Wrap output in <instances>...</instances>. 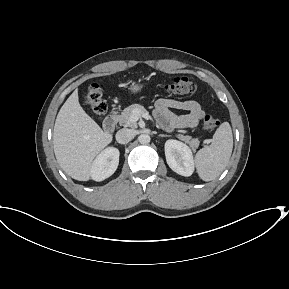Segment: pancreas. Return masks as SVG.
<instances>
[{
  "instance_id": "cf45deb5",
  "label": "pancreas",
  "mask_w": 289,
  "mask_h": 289,
  "mask_svg": "<svg viewBox=\"0 0 289 289\" xmlns=\"http://www.w3.org/2000/svg\"><path fill=\"white\" fill-rule=\"evenodd\" d=\"M140 111V113L146 112V109L140 105V104H133L129 107L125 108L121 115L117 117L119 123L125 127H131L135 128L137 126L136 122L131 121V115L133 114V111ZM180 140L186 142L191 146L192 149H196L199 146V140L197 138H192L191 136H184L182 134H179L177 136Z\"/></svg>"
}]
</instances>
